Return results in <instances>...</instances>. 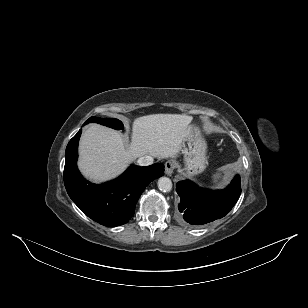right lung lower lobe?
Here are the masks:
<instances>
[{
  "label": "right lung lower lobe",
  "instance_id": "98d812e1",
  "mask_svg": "<svg viewBox=\"0 0 308 308\" xmlns=\"http://www.w3.org/2000/svg\"><path fill=\"white\" fill-rule=\"evenodd\" d=\"M81 132L80 129L66 148L64 184L67 193L92 220L109 227L123 225L134 215L136 203L146 185L164 174V165H132L111 182L92 184L81 176L76 165Z\"/></svg>",
  "mask_w": 308,
  "mask_h": 308
}]
</instances>
